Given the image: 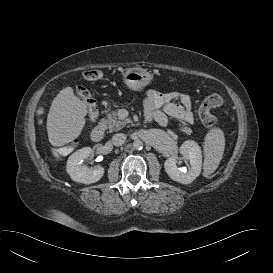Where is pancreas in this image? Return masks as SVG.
Wrapping results in <instances>:
<instances>
[{
	"label": "pancreas",
	"instance_id": "1",
	"mask_svg": "<svg viewBox=\"0 0 273 273\" xmlns=\"http://www.w3.org/2000/svg\"><path fill=\"white\" fill-rule=\"evenodd\" d=\"M104 122L110 131H119L125 127L126 124L130 123L131 120L128 118H121L117 112H111L107 115V118ZM180 130L186 134L191 133V129L184 125L180 128ZM170 134L174 135L173 132H170Z\"/></svg>",
	"mask_w": 273,
	"mask_h": 273
}]
</instances>
